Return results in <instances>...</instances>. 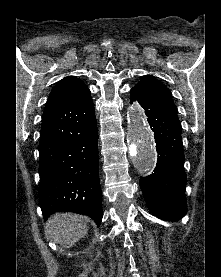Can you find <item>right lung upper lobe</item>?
<instances>
[{"label":"right lung upper lobe","mask_w":221,"mask_h":277,"mask_svg":"<svg viewBox=\"0 0 221 277\" xmlns=\"http://www.w3.org/2000/svg\"><path fill=\"white\" fill-rule=\"evenodd\" d=\"M87 90L88 88L80 79L69 76L58 82L50 93L47 103L68 99Z\"/></svg>","instance_id":"obj_1"}]
</instances>
